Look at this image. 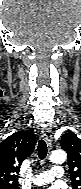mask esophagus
Instances as JSON below:
<instances>
[{"label": "esophagus", "mask_w": 81, "mask_h": 189, "mask_svg": "<svg viewBox=\"0 0 81 189\" xmlns=\"http://www.w3.org/2000/svg\"><path fill=\"white\" fill-rule=\"evenodd\" d=\"M42 138L46 141L48 147L52 146V135H51V129L46 128L41 131Z\"/></svg>", "instance_id": "obj_1"}]
</instances>
